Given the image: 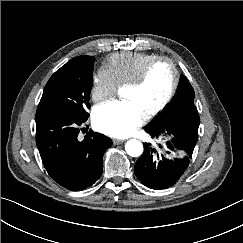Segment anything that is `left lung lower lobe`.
I'll list each match as a JSON object with an SVG mask.
<instances>
[{
    "label": "left lung lower lobe",
    "mask_w": 243,
    "mask_h": 243,
    "mask_svg": "<svg viewBox=\"0 0 243 243\" xmlns=\"http://www.w3.org/2000/svg\"><path fill=\"white\" fill-rule=\"evenodd\" d=\"M195 109L191 105L184 113ZM181 118L167 122L165 129L145 127L153 138L161 134L169 137L166 147L159 145L161 152L150 144L144 143V152L135 164V175L145 186L151 189H165L174 185L189 165L194 147L198 140L199 124L185 125L180 123ZM177 153L180 158L171 159L170 155Z\"/></svg>",
    "instance_id": "obj_1"
}]
</instances>
